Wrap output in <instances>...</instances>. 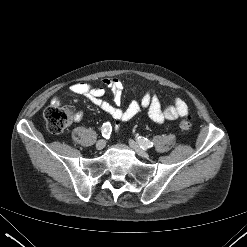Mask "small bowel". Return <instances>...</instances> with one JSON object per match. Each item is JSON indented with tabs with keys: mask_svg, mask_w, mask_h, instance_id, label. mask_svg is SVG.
<instances>
[{
	"mask_svg": "<svg viewBox=\"0 0 247 247\" xmlns=\"http://www.w3.org/2000/svg\"><path fill=\"white\" fill-rule=\"evenodd\" d=\"M106 89L112 91L114 104L103 99ZM70 90L76 95L86 97L103 112L120 122L131 120L143 110H146L149 117L157 124L188 115V106L184 100L176 98L172 105L164 107L157 94L152 90L147 91L141 100H133L126 108H122L120 105L123 85L117 78H105L100 86H91L85 82H77L71 85ZM59 103L60 100L58 97L53 99V104ZM76 117L77 119H81L82 113L78 112Z\"/></svg>",
	"mask_w": 247,
	"mask_h": 247,
	"instance_id": "small-bowel-1",
	"label": "small bowel"
}]
</instances>
